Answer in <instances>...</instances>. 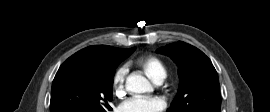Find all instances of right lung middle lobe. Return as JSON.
I'll return each instance as SVG.
<instances>
[{
	"instance_id": "1",
	"label": "right lung middle lobe",
	"mask_w": 270,
	"mask_h": 112,
	"mask_svg": "<svg viewBox=\"0 0 270 112\" xmlns=\"http://www.w3.org/2000/svg\"><path fill=\"white\" fill-rule=\"evenodd\" d=\"M135 49H125L109 62L67 59L53 80L50 112L111 111L109 102L112 100L115 69Z\"/></svg>"
}]
</instances>
